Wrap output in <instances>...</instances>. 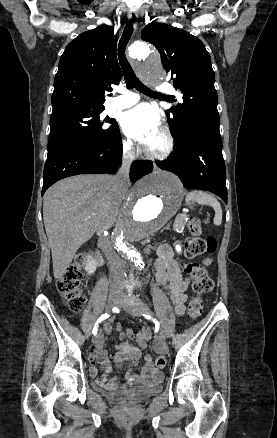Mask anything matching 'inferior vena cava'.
I'll use <instances>...</instances> for the list:
<instances>
[{
  "label": "inferior vena cava",
  "instance_id": "1",
  "mask_svg": "<svg viewBox=\"0 0 277 438\" xmlns=\"http://www.w3.org/2000/svg\"><path fill=\"white\" fill-rule=\"evenodd\" d=\"M133 160L134 156L131 152H127V154H123L122 156V166L119 168L116 176H114L120 190H125L129 184V172ZM109 264L113 274V282L110 286V290H118L119 292L121 282H123L125 276V266L120 258H117V260H109Z\"/></svg>",
  "mask_w": 277,
  "mask_h": 438
}]
</instances>
